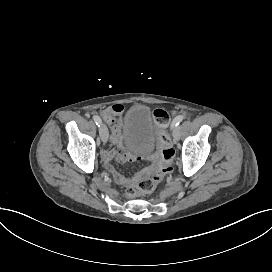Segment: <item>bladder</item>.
<instances>
[{
  "label": "bladder",
  "mask_w": 272,
  "mask_h": 272,
  "mask_svg": "<svg viewBox=\"0 0 272 272\" xmlns=\"http://www.w3.org/2000/svg\"><path fill=\"white\" fill-rule=\"evenodd\" d=\"M126 140L134 144L150 145L154 142L153 131L158 123L153 109L146 104L132 105L124 115Z\"/></svg>",
  "instance_id": "31cf9c89"
}]
</instances>
